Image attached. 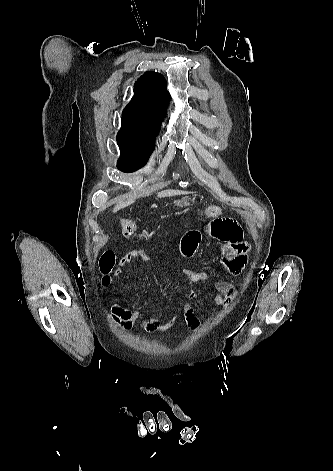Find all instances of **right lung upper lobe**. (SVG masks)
<instances>
[{
    "instance_id": "cb5924a9",
    "label": "right lung upper lobe",
    "mask_w": 333,
    "mask_h": 471,
    "mask_svg": "<svg viewBox=\"0 0 333 471\" xmlns=\"http://www.w3.org/2000/svg\"><path fill=\"white\" fill-rule=\"evenodd\" d=\"M169 100L163 75L145 72L135 82L134 96L123 110L121 128L159 131Z\"/></svg>"
}]
</instances>
